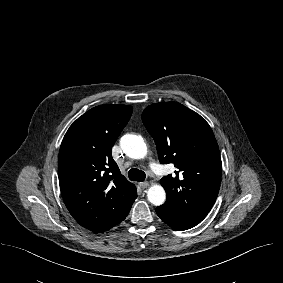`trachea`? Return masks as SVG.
Returning <instances> with one entry per match:
<instances>
[{
  "label": "trachea",
  "mask_w": 283,
  "mask_h": 283,
  "mask_svg": "<svg viewBox=\"0 0 283 283\" xmlns=\"http://www.w3.org/2000/svg\"><path fill=\"white\" fill-rule=\"evenodd\" d=\"M128 177L131 181L142 182L145 180L146 174L142 170H139L137 168H132L128 172Z\"/></svg>",
  "instance_id": "obj_1"
}]
</instances>
